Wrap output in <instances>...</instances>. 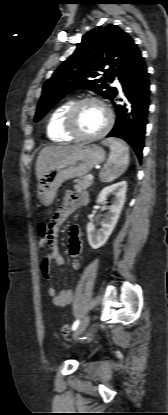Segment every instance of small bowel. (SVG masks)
<instances>
[{"instance_id": "1", "label": "small bowel", "mask_w": 168, "mask_h": 415, "mask_svg": "<svg viewBox=\"0 0 168 415\" xmlns=\"http://www.w3.org/2000/svg\"><path fill=\"white\" fill-rule=\"evenodd\" d=\"M88 195L86 193H75L67 191L64 195L63 203L54 214L51 221L47 224L48 239L47 245L49 253L43 258L40 270L46 280L51 279V266L53 263L57 265H64L65 259L60 254L58 247V235L61 224L78 208L87 205ZM82 251V236L80 228L77 225H72L69 228L68 252L71 257L76 258ZM81 264L77 259L72 261V268L80 269ZM48 293L52 297L53 304L57 307H65L73 300V290L67 289L59 293L56 292L52 285L48 287Z\"/></svg>"}]
</instances>
